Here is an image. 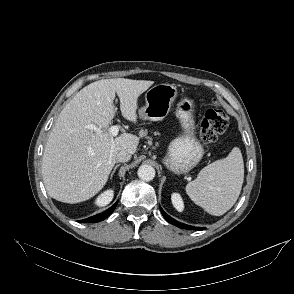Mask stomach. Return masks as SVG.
Here are the masks:
<instances>
[{"label": "stomach", "mask_w": 294, "mask_h": 294, "mask_svg": "<svg viewBox=\"0 0 294 294\" xmlns=\"http://www.w3.org/2000/svg\"><path fill=\"white\" fill-rule=\"evenodd\" d=\"M177 95L178 90L172 84L162 83L151 87L145 94V106L139 110L140 118L151 121L164 119ZM194 110V101L191 99L185 98L177 104L176 116L183 134L171 141L163 159L165 166L176 174L189 172L204 154L202 145L195 137Z\"/></svg>", "instance_id": "stomach-1"}]
</instances>
